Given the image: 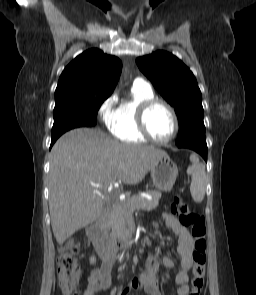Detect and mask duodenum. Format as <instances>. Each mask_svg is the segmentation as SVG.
Listing matches in <instances>:
<instances>
[{
	"instance_id": "duodenum-1",
	"label": "duodenum",
	"mask_w": 256,
	"mask_h": 295,
	"mask_svg": "<svg viewBox=\"0 0 256 295\" xmlns=\"http://www.w3.org/2000/svg\"><path fill=\"white\" fill-rule=\"evenodd\" d=\"M108 219V211L103 210L97 220L87 229V236L101 253L104 262L112 261L119 250L128 251L136 245V239L134 237L129 238L120 246L111 245L106 234Z\"/></svg>"
}]
</instances>
